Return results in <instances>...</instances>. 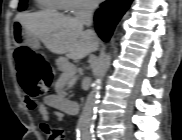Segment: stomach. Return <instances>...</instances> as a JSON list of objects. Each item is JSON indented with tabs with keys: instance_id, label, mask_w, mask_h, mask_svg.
Wrapping results in <instances>:
<instances>
[{
	"instance_id": "stomach-1",
	"label": "stomach",
	"mask_w": 182,
	"mask_h": 140,
	"mask_svg": "<svg viewBox=\"0 0 182 140\" xmlns=\"http://www.w3.org/2000/svg\"><path fill=\"white\" fill-rule=\"evenodd\" d=\"M11 27H14V36L16 44H25L31 48L39 47V39L34 36V31H24L27 29L23 22H11Z\"/></svg>"
}]
</instances>
